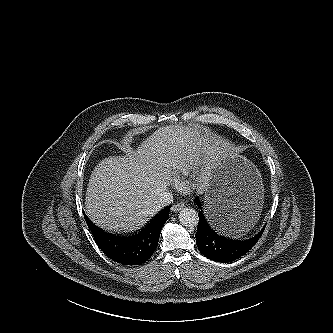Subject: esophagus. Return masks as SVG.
Instances as JSON below:
<instances>
[{
	"label": "esophagus",
	"instance_id": "34e87169",
	"mask_svg": "<svg viewBox=\"0 0 333 333\" xmlns=\"http://www.w3.org/2000/svg\"><path fill=\"white\" fill-rule=\"evenodd\" d=\"M185 204L184 203H176L171 207V210L173 212H179L182 208H184Z\"/></svg>",
	"mask_w": 333,
	"mask_h": 333
}]
</instances>
